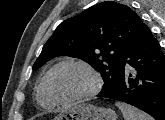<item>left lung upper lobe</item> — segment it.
<instances>
[{
    "instance_id": "obj_1",
    "label": "left lung upper lobe",
    "mask_w": 165,
    "mask_h": 120,
    "mask_svg": "<svg viewBox=\"0 0 165 120\" xmlns=\"http://www.w3.org/2000/svg\"><path fill=\"white\" fill-rule=\"evenodd\" d=\"M146 25L126 5L106 1L63 21L44 45L33 65L40 68L57 56L84 60L101 73L102 93L119 85L124 55Z\"/></svg>"
}]
</instances>
